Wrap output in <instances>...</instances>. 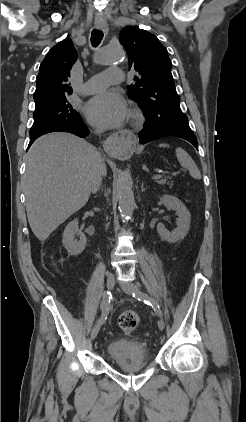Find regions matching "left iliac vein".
I'll return each mask as SVG.
<instances>
[{
    "instance_id": "obj_1",
    "label": "left iliac vein",
    "mask_w": 246,
    "mask_h": 422,
    "mask_svg": "<svg viewBox=\"0 0 246 422\" xmlns=\"http://www.w3.org/2000/svg\"><path fill=\"white\" fill-rule=\"evenodd\" d=\"M120 287L126 294H129V295L138 291V287L133 283H122V284H120ZM164 327H165L164 321L162 319H159L158 320V328L160 330H163Z\"/></svg>"
}]
</instances>
